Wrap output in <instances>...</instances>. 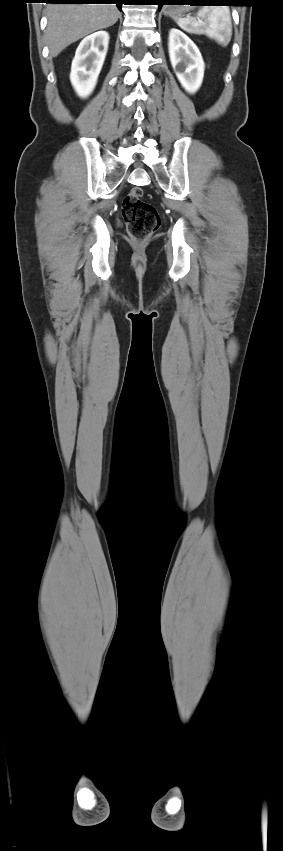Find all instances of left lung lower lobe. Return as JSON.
<instances>
[{"label":"left lung lower lobe","mask_w":283,"mask_h":851,"mask_svg":"<svg viewBox=\"0 0 283 851\" xmlns=\"http://www.w3.org/2000/svg\"><path fill=\"white\" fill-rule=\"evenodd\" d=\"M230 1L231 0H154V2H156V4L158 5L159 10L161 9L162 5L168 3H192L196 5H229L228 3H230Z\"/></svg>","instance_id":"obj_1"}]
</instances>
